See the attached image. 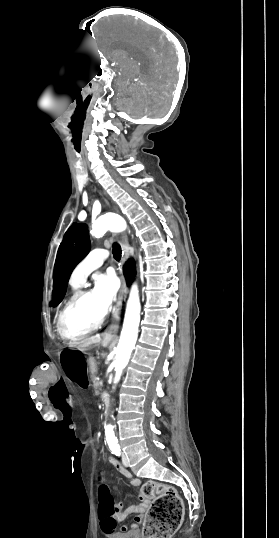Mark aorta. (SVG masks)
<instances>
[{"instance_id":"obj_1","label":"aorta","mask_w":279,"mask_h":538,"mask_svg":"<svg viewBox=\"0 0 279 538\" xmlns=\"http://www.w3.org/2000/svg\"><path fill=\"white\" fill-rule=\"evenodd\" d=\"M126 229L125 220L114 213H109L99 217L92 225L91 234L96 238L102 237L108 230L121 232ZM141 305L138 295L137 285L134 284L130 290L126 305L123 328L120 340L116 349L115 378L114 384L120 380L121 374L129 362L132 350L136 344L138 327L140 322ZM111 424L105 425L106 441L110 449H118V440Z\"/></svg>"}]
</instances>
